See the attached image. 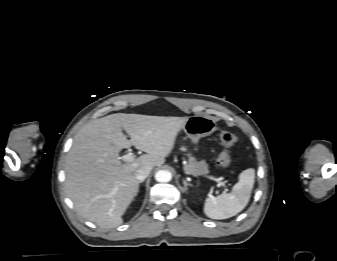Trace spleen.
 <instances>
[{
    "mask_svg": "<svg viewBox=\"0 0 337 261\" xmlns=\"http://www.w3.org/2000/svg\"><path fill=\"white\" fill-rule=\"evenodd\" d=\"M254 179L253 168L242 171L230 193L206 199L204 213L212 219H227L241 212L250 200Z\"/></svg>",
    "mask_w": 337,
    "mask_h": 261,
    "instance_id": "obj_1",
    "label": "spleen"
}]
</instances>
